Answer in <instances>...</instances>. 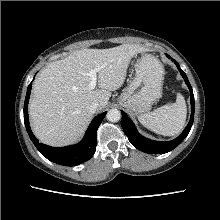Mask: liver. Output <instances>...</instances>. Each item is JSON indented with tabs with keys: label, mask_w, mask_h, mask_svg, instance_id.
<instances>
[{
	"label": "liver",
	"mask_w": 220,
	"mask_h": 220,
	"mask_svg": "<svg viewBox=\"0 0 220 220\" xmlns=\"http://www.w3.org/2000/svg\"><path fill=\"white\" fill-rule=\"evenodd\" d=\"M145 48L123 44L109 49H81L50 63L35 79L29 104L33 132L45 144L63 146L75 142L86 130L96 102L107 105L111 92L126 78L131 59ZM99 68V89H89L88 73Z\"/></svg>",
	"instance_id": "1"
}]
</instances>
